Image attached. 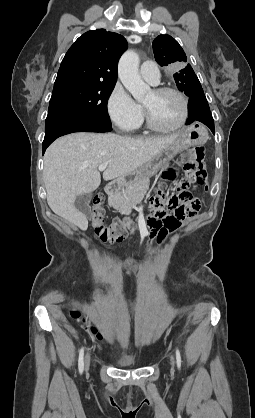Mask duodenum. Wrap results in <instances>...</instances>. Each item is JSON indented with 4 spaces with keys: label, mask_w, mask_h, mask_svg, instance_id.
Masks as SVG:
<instances>
[{
    "label": "duodenum",
    "mask_w": 255,
    "mask_h": 418,
    "mask_svg": "<svg viewBox=\"0 0 255 418\" xmlns=\"http://www.w3.org/2000/svg\"><path fill=\"white\" fill-rule=\"evenodd\" d=\"M122 186H123L122 181H120V180L114 181V182L109 183L106 186L105 191L108 195H113V194L117 193L118 190L121 189ZM135 231H136V228L133 225L128 227V233L129 234H133Z\"/></svg>",
    "instance_id": "1"
}]
</instances>
